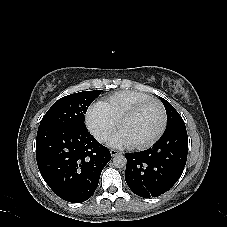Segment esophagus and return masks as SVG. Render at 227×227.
<instances>
[{
  "mask_svg": "<svg viewBox=\"0 0 227 227\" xmlns=\"http://www.w3.org/2000/svg\"><path fill=\"white\" fill-rule=\"evenodd\" d=\"M110 153H111V156H112V157H116L117 155L121 154L120 151L115 150V149H111V150H110Z\"/></svg>",
  "mask_w": 227,
  "mask_h": 227,
  "instance_id": "obj_1",
  "label": "esophagus"
}]
</instances>
